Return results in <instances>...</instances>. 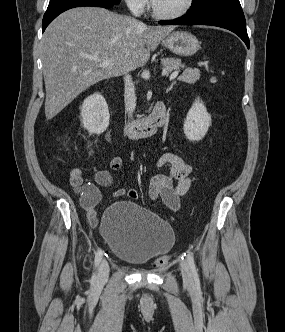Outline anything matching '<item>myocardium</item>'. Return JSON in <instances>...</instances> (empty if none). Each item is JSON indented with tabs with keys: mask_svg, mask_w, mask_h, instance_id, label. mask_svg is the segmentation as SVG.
I'll use <instances>...</instances> for the list:
<instances>
[{
	"mask_svg": "<svg viewBox=\"0 0 285 332\" xmlns=\"http://www.w3.org/2000/svg\"><path fill=\"white\" fill-rule=\"evenodd\" d=\"M193 4H194V0H186V4L178 12L172 13V14H164V13L158 12L156 10L155 6H154V3H152L151 13H152V16L156 19L176 20V19H179V18L183 17L184 15H186L190 11V9L192 8Z\"/></svg>",
	"mask_w": 285,
	"mask_h": 332,
	"instance_id": "myocardium-1",
	"label": "myocardium"
}]
</instances>
